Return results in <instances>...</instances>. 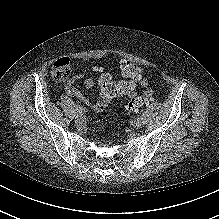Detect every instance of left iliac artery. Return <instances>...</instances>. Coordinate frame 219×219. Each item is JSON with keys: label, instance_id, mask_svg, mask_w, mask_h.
<instances>
[{"label": "left iliac artery", "instance_id": "1", "mask_svg": "<svg viewBox=\"0 0 219 219\" xmlns=\"http://www.w3.org/2000/svg\"><path fill=\"white\" fill-rule=\"evenodd\" d=\"M143 118H142V116H138V118H137V120H142Z\"/></svg>", "mask_w": 219, "mask_h": 219}]
</instances>
